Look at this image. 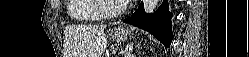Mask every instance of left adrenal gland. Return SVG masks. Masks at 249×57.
I'll use <instances>...</instances> for the list:
<instances>
[{"instance_id":"obj_1","label":"left adrenal gland","mask_w":249,"mask_h":57,"mask_svg":"<svg viewBox=\"0 0 249 57\" xmlns=\"http://www.w3.org/2000/svg\"><path fill=\"white\" fill-rule=\"evenodd\" d=\"M133 45H127L125 49V57H132Z\"/></svg>"}]
</instances>
